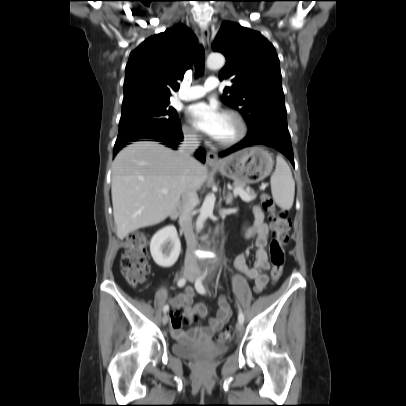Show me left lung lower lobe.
I'll list each match as a JSON object with an SVG mask.
<instances>
[{
	"instance_id": "1",
	"label": "left lung lower lobe",
	"mask_w": 406,
	"mask_h": 406,
	"mask_svg": "<svg viewBox=\"0 0 406 406\" xmlns=\"http://www.w3.org/2000/svg\"><path fill=\"white\" fill-rule=\"evenodd\" d=\"M251 145H267L283 153L294 166V156L291 145V137L288 130H282L274 127H264L254 131H249L247 136L238 144L219 153L224 157L242 148Z\"/></svg>"
}]
</instances>
